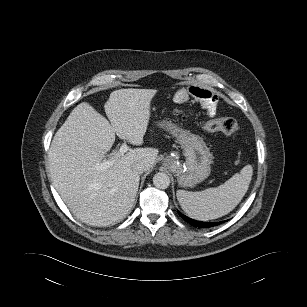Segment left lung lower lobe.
<instances>
[{"label":"left lung lower lobe","instance_id":"obj_1","mask_svg":"<svg viewBox=\"0 0 307 307\" xmlns=\"http://www.w3.org/2000/svg\"><path fill=\"white\" fill-rule=\"evenodd\" d=\"M178 213L186 222H188L189 224L193 225L194 227H198V228H210V227H213V226H216V225L222 223V222H200V221L193 220V219L183 215L179 211H178Z\"/></svg>","mask_w":307,"mask_h":307}]
</instances>
